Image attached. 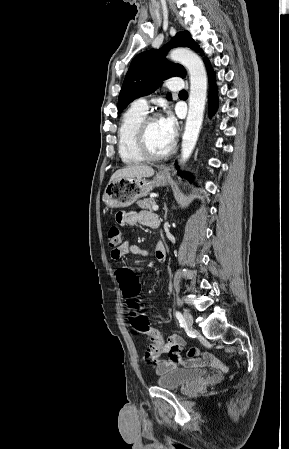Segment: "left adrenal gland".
Returning a JSON list of instances; mask_svg holds the SVG:
<instances>
[{
  "label": "left adrenal gland",
  "instance_id": "1",
  "mask_svg": "<svg viewBox=\"0 0 289 449\" xmlns=\"http://www.w3.org/2000/svg\"><path fill=\"white\" fill-rule=\"evenodd\" d=\"M164 211H165V215H164V218L166 219V217H167V212H168V208H167V206H166V204H164Z\"/></svg>",
  "mask_w": 289,
  "mask_h": 449
}]
</instances>
